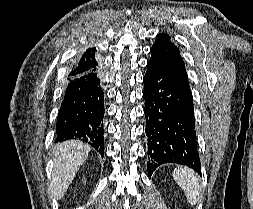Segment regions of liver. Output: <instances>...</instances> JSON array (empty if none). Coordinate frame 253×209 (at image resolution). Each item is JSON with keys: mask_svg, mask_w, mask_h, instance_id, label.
I'll use <instances>...</instances> for the list:
<instances>
[{"mask_svg": "<svg viewBox=\"0 0 253 209\" xmlns=\"http://www.w3.org/2000/svg\"><path fill=\"white\" fill-rule=\"evenodd\" d=\"M91 147L78 140L59 144L54 155V167L50 192L53 197L61 199L67 191L81 165L86 161Z\"/></svg>", "mask_w": 253, "mask_h": 209, "instance_id": "6515ba94", "label": "liver"}]
</instances>
